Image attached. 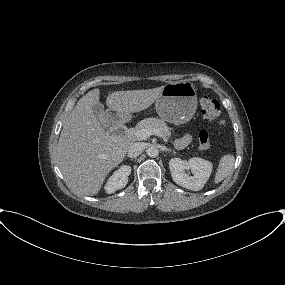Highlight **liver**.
<instances>
[{
  "label": "liver",
  "mask_w": 285,
  "mask_h": 285,
  "mask_svg": "<svg viewBox=\"0 0 285 285\" xmlns=\"http://www.w3.org/2000/svg\"><path fill=\"white\" fill-rule=\"evenodd\" d=\"M163 88L115 91L108 95L106 105L118 115L140 112L158 99ZM99 99V89H93L77 102L63 125L57 147L58 165L66 182L88 196L100 191L131 145L125 137L105 132L92 111Z\"/></svg>",
  "instance_id": "liver-1"
}]
</instances>
